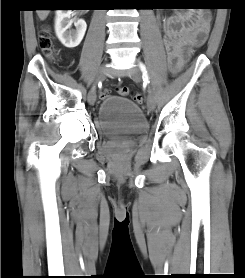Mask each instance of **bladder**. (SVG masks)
I'll return each instance as SVG.
<instances>
[{
	"label": "bladder",
	"mask_w": 245,
	"mask_h": 278,
	"mask_svg": "<svg viewBox=\"0 0 245 278\" xmlns=\"http://www.w3.org/2000/svg\"><path fill=\"white\" fill-rule=\"evenodd\" d=\"M97 124L107 138L137 135L147 128L142 109L122 96H108L101 101Z\"/></svg>",
	"instance_id": "bladder-1"
}]
</instances>
